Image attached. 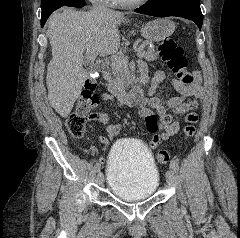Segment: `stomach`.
<instances>
[{"instance_id": "1", "label": "stomach", "mask_w": 240, "mask_h": 238, "mask_svg": "<svg viewBox=\"0 0 240 238\" xmlns=\"http://www.w3.org/2000/svg\"><path fill=\"white\" fill-rule=\"evenodd\" d=\"M175 31V23L170 19L157 18L142 26L141 35L148 41L159 42Z\"/></svg>"}]
</instances>
